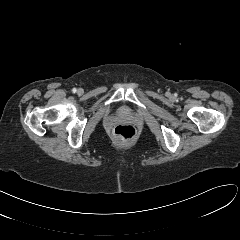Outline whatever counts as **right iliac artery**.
<instances>
[{"label":"right iliac artery","instance_id":"right-iliac-artery-1","mask_svg":"<svg viewBox=\"0 0 240 240\" xmlns=\"http://www.w3.org/2000/svg\"><path fill=\"white\" fill-rule=\"evenodd\" d=\"M72 92H73V93H76V92H77V89H76V88H73V89H72Z\"/></svg>","mask_w":240,"mask_h":240}]
</instances>
